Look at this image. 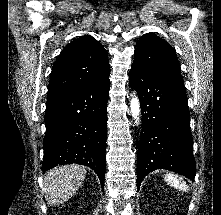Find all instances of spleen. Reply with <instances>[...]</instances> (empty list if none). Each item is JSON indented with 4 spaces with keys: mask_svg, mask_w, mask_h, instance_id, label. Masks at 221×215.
Returning a JSON list of instances; mask_svg holds the SVG:
<instances>
[{
    "mask_svg": "<svg viewBox=\"0 0 221 215\" xmlns=\"http://www.w3.org/2000/svg\"><path fill=\"white\" fill-rule=\"evenodd\" d=\"M164 179L166 182H169L175 188H178V189L184 190V191L188 190L187 184L172 174H167Z\"/></svg>",
    "mask_w": 221,
    "mask_h": 215,
    "instance_id": "1",
    "label": "spleen"
}]
</instances>
